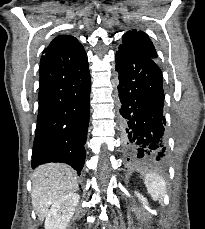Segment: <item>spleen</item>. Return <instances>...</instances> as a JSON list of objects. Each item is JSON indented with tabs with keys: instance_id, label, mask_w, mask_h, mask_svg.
Segmentation results:
<instances>
[{
	"instance_id": "obj_1",
	"label": "spleen",
	"mask_w": 205,
	"mask_h": 229,
	"mask_svg": "<svg viewBox=\"0 0 205 229\" xmlns=\"http://www.w3.org/2000/svg\"><path fill=\"white\" fill-rule=\"evenodd\" d=\"M144 183L152 199L162 203L166 193L165 180L158 174H148L144 176Z\"/></svg>"
}]
</instances>
